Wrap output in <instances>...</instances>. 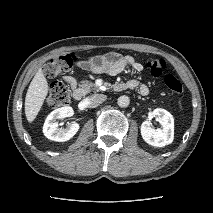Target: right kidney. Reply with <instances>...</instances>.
Returning <instances> with one entry per match:
<instances>
[{
	"mask_svg": "<svg viewBox=\"0 0 213 213\" xmlns=\"http://www.w3.org/2000/svg\"><path fill=\"white\" fill-rule=\"evenodd\" d=\"M73 109L70 106H65L52 111L46 118L43 133L44 135L53 141L64 142L71 139L79 130L78 123H72L66 128H58L57 119L66 118L72 116Z\"/></svg>",
	"mask_w": 213,
	"mask_h": 213,
	"instance_id": "ca27d5eb",
	"label": "right kidney"
}]
</instances>
